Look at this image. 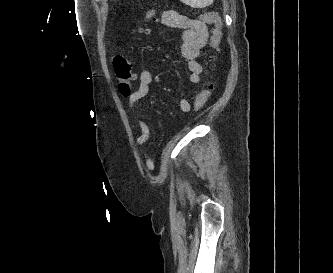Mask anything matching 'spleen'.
<instances>
[{
	"label": "spleen",
	"instance_id": "spleen-1",
	"mask_svg": "<svg viewBox=\"0 0 333 273\" xmlns=\"http://www.w3.org/2000/svg\"><path fill=\"white\" fill-rule=\"evenodd\" d=\"M180 1L194 8H204L206 6L211 5L214 0H180Z\"/></svg>",
	"mask_w": 333,
	"mask_h": 273
}]
</instances>
